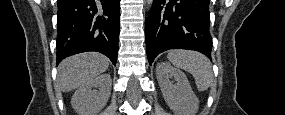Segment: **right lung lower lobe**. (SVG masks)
I'll return each mask as SVG.
<instances>
[{"instance_id":"98d812e1","label":"right lung lower lobe","mask_w":285,"mask_h":115,"mask_svg":"<svg viewBox=\"0 0 285 115\" xmlns=\"http://www.w3.org/2000/svg\"><path fill=\"white\" fill-rule=\"evenodd\" d=\"M57 63L81 52L96 51L116 65L120 0H57Z\"/></svg>"}]
</instances>
